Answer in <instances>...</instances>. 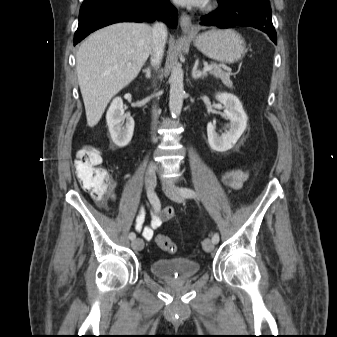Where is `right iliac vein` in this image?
Instances as JSON below:
<instances>
[{
  "label": "right iliac vein",
  "instance_id": "obj_1",
  "mask_svg": "<svg viewBox=\"0 0 337 337\" xmlns=\"http://www.w3.org/2000/svg\"><path fill=\"white\" fill-rule=\"evenodd\" d=\"M157 169L153 166L149 167L145 174V183L149 191H152L156 186L157 180ZM131 246L134 250L139 251L142 250L144 246V242L142 239L137 238L132 241Z\"/></svg>",
  "mask_w": 337,
  "mask_h": 337
}]
</instances>
